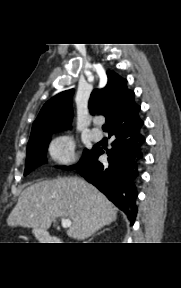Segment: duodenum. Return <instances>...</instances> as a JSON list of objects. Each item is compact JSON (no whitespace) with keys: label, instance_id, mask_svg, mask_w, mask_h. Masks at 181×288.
I'll return each mask as SVG.
<instances>
[{"label":"duodenum","instance_id":"410a0bca","mask_svg":"<svg viewBox=\"0 0 181 288\" xmlns=\"http://www.w3.org/2000/svg\"><path fill=\"white\" fill-rule=\"evenodd\" d=\"M37 238L39 241L43 242V243H61L60 238H55L50 236V234H48L45 231H39L37 233Z\"/></svg>","mask_w":181,"mask_h":288}]
</instances>
